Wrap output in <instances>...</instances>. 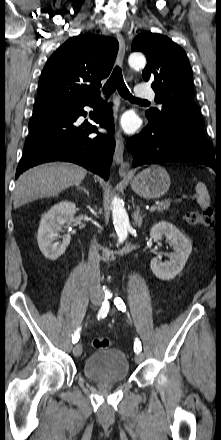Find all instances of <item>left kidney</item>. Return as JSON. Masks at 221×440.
<instances>
[{"label": "left kidney", "mask_w": 221, "mask_h": 440, "mask_svg": "<svg viewBox=\"0 0 221 440\" xmlns=\"http://www.w3.org/2000/svg\"><path fill=\"white\" fill-rule=\"evenodd\" d=\"M163 236L173 243L174 252L169 256L170 261L168 262H162L157 258H153L150 268L159 279L170 280L183 270L192 252V244L179 229L167 221L156 223L150 230V237L155 242L161 240Z\"/></svg>", "instance_id": "5707ae66"}]
</instances>
